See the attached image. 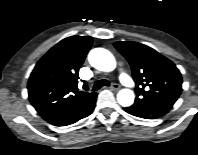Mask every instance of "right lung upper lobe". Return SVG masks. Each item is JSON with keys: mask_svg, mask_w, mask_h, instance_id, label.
Wrapping results in <instances>:
<instances>
[{"mask_svg": "<svg viewBox=\"0 0 198 155\" xmlns=\"http://www.w3.org/2000/svg\"><path fill=\"white\" fill-rule=\"evenodd\" d=\"M91 45L92 37L65 38L36 64L29 78L28 93L31 104L42 117L68 108L90 94L79 91L77 83L79 69Z\"/></svg>", "mask_w": 198, "mask_h": 155, "instance_id": "right-lung-upper-lobe-1", "label": "right lung upper lobe"}]
</instances>
